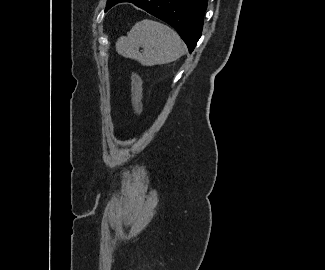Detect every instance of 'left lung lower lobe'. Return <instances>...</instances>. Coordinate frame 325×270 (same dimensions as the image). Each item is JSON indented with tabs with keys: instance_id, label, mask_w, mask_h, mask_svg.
<instances>
[{
	"instance_id": "obj_1",
	"label": "left lung lower lobe",
	"mask_w": 325,
	"mask_h": 270,
	"mask_svg": "<svg viewBox=\"0 0 325 270\" xmlns=\"http://www.w3.org/2000/svg\"><path fill=\"white\" fill-rule=\"evenodd\" d=\"M131 2L167 22L181 36L192 52L201 37L207 0H119ZM116 3V4H117Z\"/></svg>"
}]
</instances>
